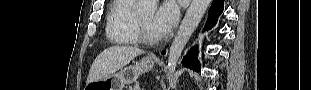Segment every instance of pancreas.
Returning a JSON list of instances; mask_svg holds the SVG:
<instances>
[{
  "mask_svg": "<svg viewBox=\"0 0 311 90\" xmlns=\"http://www.w3.org/2000/svg\"><path fill=\"white\" fill-rule=\"evenodd\" d=\"M129 90H140L139 84L136 83L134 86H131Z\"/></svg>",
  "mask_w": 311,
  "mask_h": 90,
  "instance_id": "cf45deb5",
  "label": "pancreas"
}]
</instances>
